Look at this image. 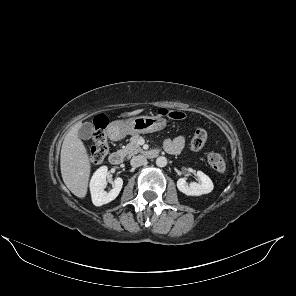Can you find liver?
Wrapping results in <instances>:
<instances>
[{
  "label": "liver",
  "mask_w": 296,
  "mask_h": 296,
  "mask_svg": "<svg viewBox=\"0 0 296 296\" xmlns=\"http://www.w3.org/2000/svg\"><path fill=\"white\" fill-rule=\"evenodd\" d=\"M141 112L143 109L134 110L128 115L134 116ZM81 126L80 122L74 124L65 136L60 154V168L67 188L75 196L84 198L87 194L91 164L87 149L78 136Z\"/></svg>",
  "instance_id": "obj_1"
}]
</instances>
